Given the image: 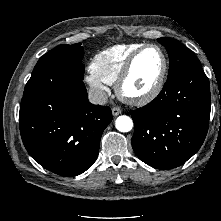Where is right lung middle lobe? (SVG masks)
Here are the masks:
<instances>
[{
	"label": "right lung middle lobe",
	"instance_id": "1",
	"mask_svg": "<svg viewBox=\"0 0 221 221\" xmlns=\"http://www.w3.org/2000/svg\"><path fill=\"white\" fill-rule=\"evenodd\" d=\"M83 55L81 43L59 45L39 59L31 78L64 79L74 76L83 80L85 70L81 62Z\"/></svg>",
	"mask_w": 221,
	"mask_h": 221
}]
</instances>
